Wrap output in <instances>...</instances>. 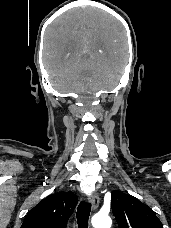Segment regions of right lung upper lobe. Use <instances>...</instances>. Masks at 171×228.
Wrapping results in <instances>:
<instances>
[{"label":"right lung upper lobe","mask_w":171,"mask_h":228,"mask_svg":"<svg viewBox=\"0 0 171 228\" xmlns=\"http://www.w3.org/2000/svg\"><path fill=\"white\" fill-rule=\"evenodd\" d=\"M76 204L72 192L51 194L28 212L21 228H66Z\"/></svg>","instance_id":"obj_1"}]
</instances>
